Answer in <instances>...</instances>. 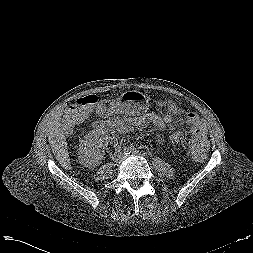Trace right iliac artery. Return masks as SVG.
<instances>
[{"instance_id":"82829eb1","label":"right iliac artery","mask_w":253,"mask_h":253,"mask_svg":"<svg viewBox=\"0 0 253 253\" xmlns=\"http://www.w3.org/2000/svg\"><path fill=\"white\" fill-rule=\"evenodd\" d=\"M130 153H131V149H129V148L124 149V154H130Z\"/></svg>"}]
</instances>
